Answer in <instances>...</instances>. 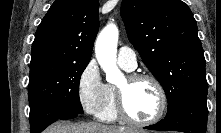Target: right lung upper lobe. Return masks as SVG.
I'll return each mask as SVG.
<instances>
[{"mask_svg":"<svg viewBox=\"0 0 221 133\" xmlns=\"http://www.w3.org/2000/svg\"><path fill=\"white\" fill-rule=\"evenodd\" d=\"M98 9V0H55L36 31L30 74L89 62L99 27Z\"/></svg>","mask_w":221,"mask_h":133,"instance_id":"obj_1","label":"right lung upper lobe"}]
</instances>
